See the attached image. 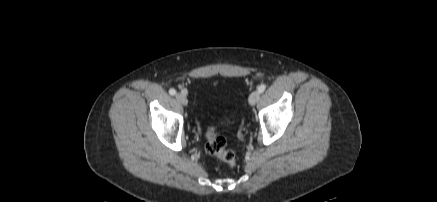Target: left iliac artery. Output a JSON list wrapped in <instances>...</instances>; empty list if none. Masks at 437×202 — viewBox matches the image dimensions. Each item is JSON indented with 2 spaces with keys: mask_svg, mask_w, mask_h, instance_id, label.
Wrapping results in <instances>:
<instances>
[{
  "mask_svg": "<svg viewBox=\"0 0 437 202\" xmlns=\"http://www.w3.org/2000/svg\"><path fill=\"white\" fill-rule=\"evenodd\" d=\"M265 89H266V85H265V84H261V85L258 87V91H259L260 93L264 92Z\"/></svg>",
  "mask_w": 437,
  "mask_h": 202,
  "instance_id": "44dca946",
  "label": "left iliac artery"
}]
</instances>
